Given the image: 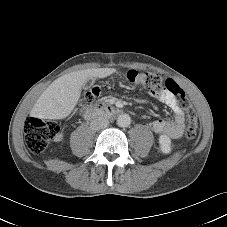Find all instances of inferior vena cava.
<instances>
[{
    "label": "inferior vena cava",
    "mask_w": 227,
    "mask_h": 227,
    "mask_svg": "<svg viewBox=\"0 0 227 227\" xmlns=\"http://www.w3.org/2000/svg\"><path fill=\"white\" fill-rule=\"evenodd\" d=\"M108 124H109V121L105 117H97L94 120H92V122L90 123L91 128L93 130L104 129L108 126Z\"/></svg>",
    "instance_id": "602c4592"
}]
</instances>
